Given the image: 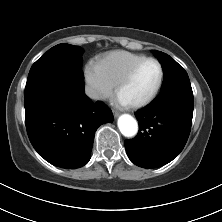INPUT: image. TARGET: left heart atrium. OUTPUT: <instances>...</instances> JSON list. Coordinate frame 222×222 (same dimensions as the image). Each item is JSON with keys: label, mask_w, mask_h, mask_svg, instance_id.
<instances>
[{"label": "left heart atrium", "mask_w": 222, "mask_h": 222, "mask_svg": "<svg viewBox=\"0 0 222 222\" xmlns=\"http://www.w3.org/2000/svg\"><path fill=\"white\" fill-rule=\"evenodd\" d=\"M115 103L118 106L124 107V106H128V102L126 100H124L121 96H117L115 99Z\"/></svg>", "instance_id": "39dd6f15"}]
</instances>
